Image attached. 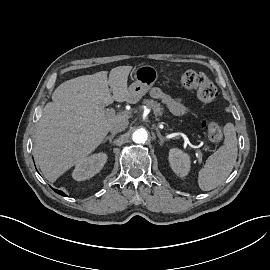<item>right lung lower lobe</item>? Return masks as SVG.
Instances as JSON below:
<instances>
[{
	"mask_svg": "<svg viewBox=\"0 0 270 270\" xmlns=\"http://www.w3.org/2000/svg\"><path fill=\"white\" fill-rule=\"evenodd\" d=\"M54 191H55L56 193H58V194L62 195V196H66V195H65V193H63V192H62V191H60V190H56V189H54Z\"/></svg>",
	"mask_w": 270,
	"mask_h": 270,
	"instance_id": "1",
	"label": "right lung lower lobe"
}]
</instances>
